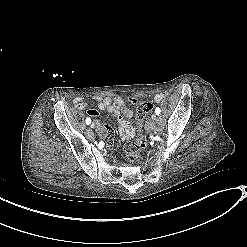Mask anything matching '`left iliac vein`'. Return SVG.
<instances>
[{
  "instance_id": "obj_1",
  "label": "left iliac vein",
  "mask_w": 247,
  "mask_h": 247,
  "mask_svg": "<svg viewBox=\"0 0 247 247\" xmlns=\"http://www.w3.org/2000/svg\"><path fill=\"white\" fill-rule=\"evenodd\" d=\"M151 118H152L153 121H155L157 119L156 114H152V117Z\"/></svg>"
}]
</instances>
